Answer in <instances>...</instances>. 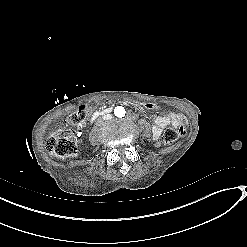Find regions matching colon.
Masks as SVG:
<instances>
[{"instance_id":"5ec220e1","label":"colon","mask_w":247,"mask_h":247,"mask_svg":"<svg viewBox=\"0 0 247 247\" xmlns=\"http://www.w3.org/2000/svg\"><path fill=\"white\" fill-rule=\"evenodd\" d=\"M143 107L147 111H157L160 108V103L145 100ZM89 114L90 111L86 105H82L75 110L65 122V128L55 129L47 137L45 141L47 151L61 159L74 157L78 153L77 131L75 128L86 122ZM185 134L186 130L181 125L169 127L163 134V142L171 144L184 137Z\"/></svg>"}]
</instances>
